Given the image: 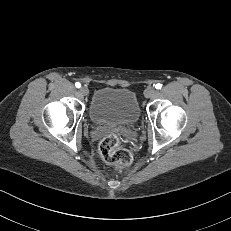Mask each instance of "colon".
<instances>
[{"mask_svg":"<svg viewBox=\"0 0 231 231\" xmlns=\"http://www.w3.org/2000/svg\"><path fill=\"white\" fill-rule=\"evenodd\" d=\"M103 161L118 168H128L132 164V154L121 146L120 138L115 134L107 135L99 145Z\"/></svg>","mask_w":231,"mask_h":231,"instance_id":"5ec220e1","label":"colon"}]
</instances>
